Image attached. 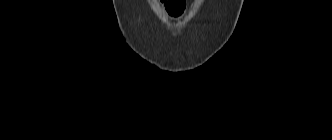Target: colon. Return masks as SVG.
Segmentation results:
<instances>
[{
	"label": "colon",
	"instance_id": "1",
	"mask_svg": "<svg viewBox=\"0 0 332 140\" xmlns=\"http://www.w3.org/2000/svg\"><path fill=\"white\" fill-rule=\"evenodd\" d=\"M172 15H179L185 6V0H160Z\"/></svg>",
	"mask_w": 332,
	"mask_h": 140
}]
</instances>
